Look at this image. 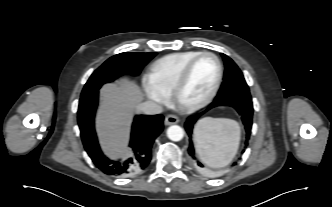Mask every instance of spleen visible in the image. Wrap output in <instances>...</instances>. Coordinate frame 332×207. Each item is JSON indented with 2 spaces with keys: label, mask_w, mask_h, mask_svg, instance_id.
Returning <instances> with one entry per match:
<instances>
[{
  "label": "spleen",
  "mask_w": 332,
  "mask_h": 207,
  "mask_svg": "<svg viewBox=\"0 0 332 207\" xmlns=\"http://www.w3.org/2000/svg\"><path fill=\"white\" fill-rule=\"evenodd\" d=\"M196 151L206 165L227 166L235 157L240 142L239 124L226 118H204L194 130Z\"/></svg>",
  "instance_id": "obj_1"
}]
</instances>
